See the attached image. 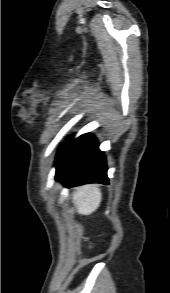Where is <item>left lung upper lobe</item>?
<instances>
[{
	"label": "left lung upper lobe",
	"instance_id": "5c2ea615",
	"mask_svg": "<svg viewBox=\"0 0 170 293\" xmlns=\"http://www.w3.org/2000/svg\"><path fill=\"white\" fill-rule=\"evenodd\" d=\"M70 142V141H69ZM69 142H66L62 148L59 150L58 154H57V158L60 156V154L62 153V151L65 149V147L68 145Z\"/></svg>",
	"mask_w": 170,
	"mask_h": 293
}]
</instances>
